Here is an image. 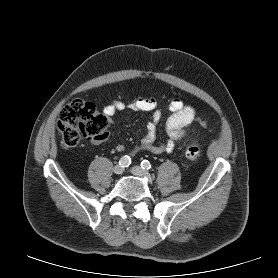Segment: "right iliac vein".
<instances>
[{
	"mask_svg": "<svg viewBox=\"0 0 278 278\" xmlns=\"http://www.w3.org/2000/svg\"><path fill=\"white\" fill-rule=\"evenodd\" d=\"M124 171L123 167H121L120 165H116L113 168V172L117 175L122 174Z\"/></svg>",
	"mask_w": 278,
	"mask_h": 278,
	"instance_id": "63e3f726",
	"label": "right iliac vein"
}]
</instances>
